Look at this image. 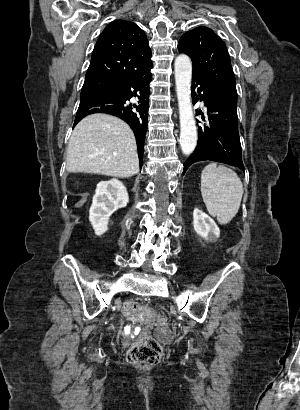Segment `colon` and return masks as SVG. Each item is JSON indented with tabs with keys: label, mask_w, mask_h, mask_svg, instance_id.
I'll return each instance as SVG.
<instances>
[{
	"label": "colon",
	"mask_w": 300,
	"mask_h": 410,
	"mask_svg": "<svg viewBox=\"0 0 300 410\" xmlns=\"http://www.w3.org/2000/svg\"><path fill=\"white\" fill-rule=\"evenodd\" d=\"M127 316L137 318V327L148 325L150 330H155L157 324H165L167 317L159 315L158 309L151 310L148 306L136 301H128L124 305ZM152 312V315H150ZM162 357V347L160 343L151 337L139 338L128 350L127 361L136 366H151L160 362Z\"/></svg>",
	"instance_id": "colon-1"
}]
</instances>
